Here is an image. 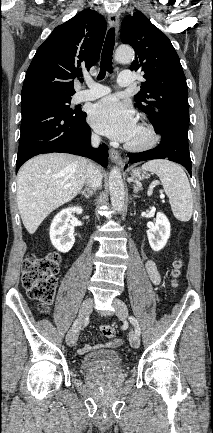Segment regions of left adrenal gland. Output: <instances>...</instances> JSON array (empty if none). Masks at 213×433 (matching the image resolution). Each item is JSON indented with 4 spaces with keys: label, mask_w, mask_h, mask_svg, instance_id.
<instances>
[{
    "label": "left adrenal gland",
    "mask_w": 213,
    "mask_h": 433,
    "mask_svg": "<svg viewBox=\"0 0 213 433\" xmlns=\"http://www.w3.org/2000/svg\"><path fill=\"white\" fill-rule=\"evenodd\" d=\"M133 187H134V193H137L138 191H140V190H142V188L139 186V185H133Z\"/></svg>",
    "instance_id": "obj_1"
}]
</instances>
